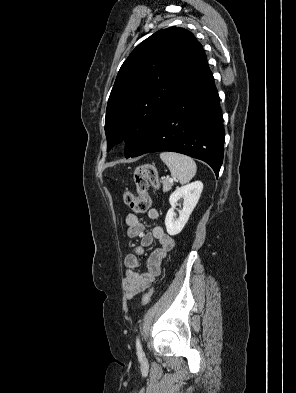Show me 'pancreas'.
<instances>
[{
	"label": "pancreas",
	"instance_id": "1",
	"mask_svg": "<svg viewBox=\"0 0 296 393\" xmlns=\"http://www.w3.org/2000/svg\"><path fill=\"white\" fill-rule=\"evenodd\" d=\"M161 183L163 185V191L165 192L169 191L173 186V182H169L167 178H161Z\"/></svg>",
	"mask_w": 296,
	"mask_h": 393
}]
</instances>
